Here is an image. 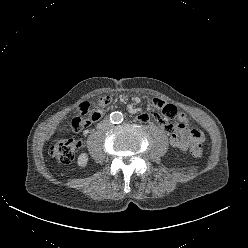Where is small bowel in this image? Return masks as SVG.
<instances>
[{"label":"small bowel","instance_id":"1","mask_svg":"<svg viewBox=\"0 0 248 248\" xmlns=\"http://www.w3.org/2000/svg\"><path fill=\"white\" fill-rule=\"evenodd\" d=\"M152 104L154 107L159 108L162 115L160 116L153 107L147 108V113L153 117L154 120L159 124V126L169 133V140L171 146L180 150H187L192 142L191 131L186 128L187 118L185 115L181 114L178 110L177 105L170 104L164 101L163 97L155 96L152 99ZM104 114V110L98 109L97 116L94 121L100 119ZM148 114L139 115V120L141 122H147L149 120ZM175 125L170 124L171 121L177 120Z\"/></svg>","mask_w":248,"mask_h":248}]
</instances>
